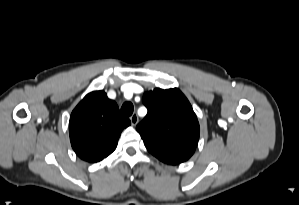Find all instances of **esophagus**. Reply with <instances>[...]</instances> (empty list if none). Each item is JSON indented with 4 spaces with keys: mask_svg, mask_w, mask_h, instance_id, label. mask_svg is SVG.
Here are the masks:
<instances>
[{
    "mask_svg": "<svg viewBox=\"0 0 299 205\" xmlns=\"http://www.w3.org/2000/svg\"><path fill=\"white\" fill-rule=\"evenodd\" d=\"M130 121H131V124H132L133 126H135V125L138 123V121H139V118H138L137 114H133V115L130 117Z\"/></svg>",
    "mask_w": 299,
    "mask_h": 205,
    "instance_id": "1",
    "label": "esophagus"
}]
</instances>
